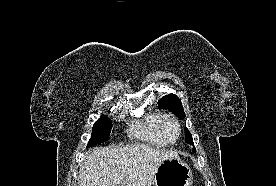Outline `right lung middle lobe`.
<instances>
[{
  "label": "right lung middle lobe",
  "mask_w": 276,
  "mask_h": 186,
  "mask_svg": "<svg viewBox=\"0 0 276 186\" xmlns=\"http://www.w3.org/2000/svg\"><path fill=\"white\" fill-rule=\"evenodd\" d=\"M112 122L107 116H102L93 126L92 136L87 144V147L96 145L109 139Z\"/></svg>",
  "instance_id": "right-lung-middle-lobe-1"
}]
</instances>
